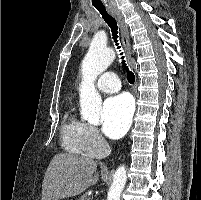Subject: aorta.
Masks as SVG:
<instances>
[{
	"label": "aorta",
	"instance_id": "1",
	"mask_svg": "<svg viewBox=\"0 0 201 200\" xmlns=\"http://www.w3.org/2000/svg\"><path fill=\"white\" fill-rule=\"evenodd\" d=\"M115 59V52L104 44L92 42L82 62V82L80 86V107L82 118L90 124L100 123L102 99L94 82ZM127 171L124 165L117 168L107 200H120L126 184Z\"/></svg>",
	"mask_w": 201,
	"mask_h": 200
}]
</instances>
